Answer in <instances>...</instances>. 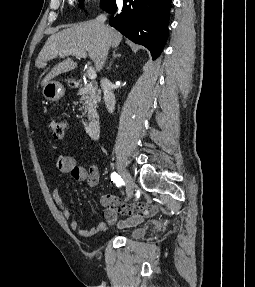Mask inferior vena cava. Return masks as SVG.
<instances>
[{
  "mask_svg": "<svg viewBox=\"0 0 255 287\" xmlns=\"http://www.w3.org/2000/svg\"><path fill=\"white\" fill-rule=\"evenodd\" d=\"M107 20L106 16L104 14H101V16H97L95 22L96 24H101V26H104V22ZM101 88L103 90L104 94V102L106 104V108L110 114H112L114 108H115V96L112 92L114 86L109 82V80H106V78H103L101 80Z\"/></svg>",
  "mask_w": 255,
  "mask_h": 287,
  "instance_id": "602c4592",
  "label": "inferior vena cava"
}]
</instances>
